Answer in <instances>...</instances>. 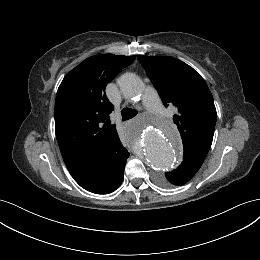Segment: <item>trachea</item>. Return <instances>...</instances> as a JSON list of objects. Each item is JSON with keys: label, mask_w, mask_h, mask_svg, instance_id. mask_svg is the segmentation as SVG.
Segmentation results:
<instances>
[{"label": "trachea", "mask_w": 260, "mask_h": 260, "mask_svg": "<svg viewBox=\"0 0 260 260\" xmlns=\"http://www.w3.org/2000/svg\"><path fill=\"white\" fill-rule=\"evenodd\" d=\"M137 113L138 112L135 109L123 108L121 110L122 121H126L133 118L137 115Z\"/></svg>", "instance_id": "trachea-1"}]
</instances>
